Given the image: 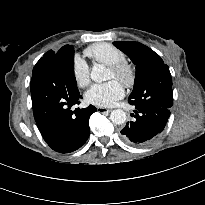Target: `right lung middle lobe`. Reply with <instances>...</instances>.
I'll use <instances>...</instances> for the list:
<instances>
[{"mask_svg": "<svg viewBox=\"0 0 205 205\" xmlns=\"http://www.w3.org/2000/svg\"><path fill=\"white\" fill-rule=\"evenodd\" d=\"M51 61V59H50ZM50 61H46L43 59V57L36 63V65L33 68V73H35L36 71H38L39 69H41L42 67H44L45 65L49 64Z\"/></svg>", "mask_w": 205, "mask_h": 205, "instance_id": "1", "label": "right lung middle lobe"}]
</instances>
